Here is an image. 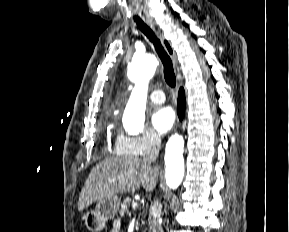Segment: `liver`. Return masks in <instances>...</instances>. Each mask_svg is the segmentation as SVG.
<instances>
[{"label":"liver","mask_w":289,"mask_h":232,"mask_svg":"<svg viewBox=\"0 0 289 232\" xmlns=\"http://www.w3.org/2000/svg\"><path fill=\"white\" fill-rule=\"evenodd\" d=\"M113 180V182H109ZM158 168L138 157H110L99 162L90 172L79 196L78 210L116 194L134 192L142 186L153 191Z\"/></svg>","instance_id":"6515ba94"}]
</instances>
